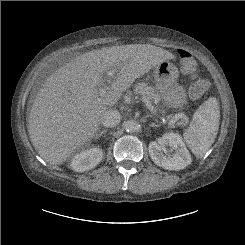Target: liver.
<instances>
[{"label": "liver", "mask_w": 245, "mask_h": 245, "mask_svg": "<svg viewBox=\"0 0 245 245\" xmlns=\"http://www.w3.org/2000/svg\"><path fill=\"white\" fill-rule=\"evenodd\" d=\"M175 56L150 44L111 46L86 52L55 71L38 91L28 116V132L38 154L63 164L99 132L104 113L132 83ZM113 71L104 96L99 93Z\"/></svg>", "instance_id": "6515ba94"}]
</instances>
